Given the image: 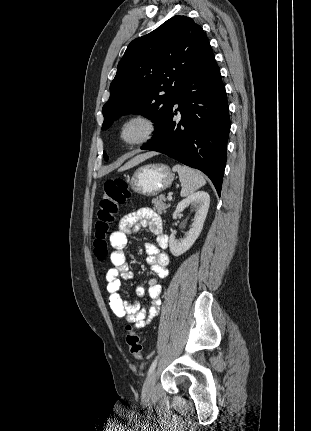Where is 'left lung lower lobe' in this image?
Returning <instances> with one entry per match:
<instances>
[{
  "label": "left lung lower lobe",
  "mask_w": 311,
  "mask_h": 431,
  "mask_svg": "<svg viewBox=\"0 0 311 431\" xmlns=\"http://www.w3.org/2000/svg\"><path fill=\"white\" fill-rule=\"evenodd\" d=\"M178 112L180 118L175 120ZM230 124L225 86L209 49L183 81L153 139L141 149L201 170L220 196Z\"/></svg>",
  "instance_id": "0a47b994"
}]
</instances>
